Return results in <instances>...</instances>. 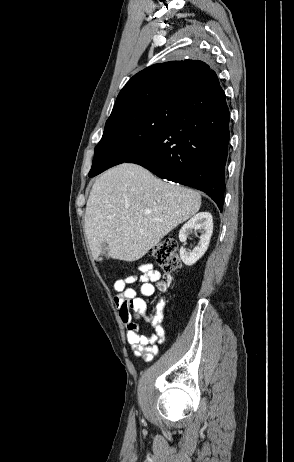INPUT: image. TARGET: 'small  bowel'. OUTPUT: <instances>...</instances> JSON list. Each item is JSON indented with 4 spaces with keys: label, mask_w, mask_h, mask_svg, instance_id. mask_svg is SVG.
<instances>
[{
    "label": "small bowel",
    "mask_w": 294,
    "mask_h": 462,
    "mask_svg": "<svg viewBox=\"0 0 294 462\" xmlns=\"http://www.w3.org/2000/svg\"><path fill=\"white\" fill-rule=\"evenodd\" d=\"M139 272V276L129 275L114 282L113 301L122 322L127 327L126 339L134 355L150 362L159 352L158 345L165 341V331L161 324L165 302L159 300L154 311L146 317V320L152 325V333L142 334L139 326L132 321L130 309L145 315L146 303L139 297V294L144 297L152 296L155 292L154 284L160 280L161 274L150 263L140 265Z\"/></svg>",
    "instance_id": "obj_1"
}]
</instances>
